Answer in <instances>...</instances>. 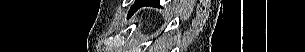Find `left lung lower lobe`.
<instances>
[{
	"label": "left lung lower lobe",
	"mask_w": 305,
	"mask_h": 52,
	"mask_svg": "<svg viewBox=\"0 0 305 52\" xmlns=\"http://www.w3.org/2000/svg\"><path fill=\"white\" fill-rule=\"evenodd\" d=\"M145 4H147V2L146 1H140V6H142V5H145Z\"/></svg>",
	"instance_id": "0a47b994"
}]
</instances>
